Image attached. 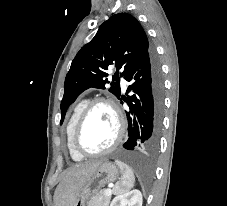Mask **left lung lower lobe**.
I'll list each match as a JSON object with an SVG mask.
<instances>
[{
    "label": "left lung lower lobe",
    "mask_w": 227,
    "mask_h": 206,
    "mask_svg": "<svg viewBox=\"0 0 227 206\" xmlns=\"http://www.w3.org/2000/svg\"><path fill=\"white\" fill-rule=\"evenodd\" d=\"M124 78L131 83L127 94H133L127 102L129 138L123 147L154 151L159 142L163 110V80L154 51L151 49Z\"/></svg>",
    "instance_id": "left-lung-lower-lobe-1"
}]
</instances>
